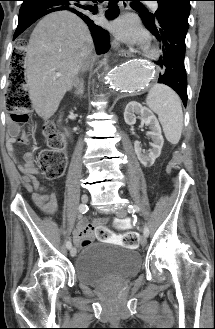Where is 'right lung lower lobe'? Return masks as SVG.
Here are the masks:
<instances>
[{
  "label": "right lung lower lobe",
  "mask_w": 215,
  "mask_h": 329,
  "mask_svg": "<svg viewBox=\"0 0 215 329\" xmlns=\"http://www.w3.org/2000/svg\"><path fill=\"white\" fill-rule=\"evenodd\" d=\"M19 11L18 26L13 39L17 38L23 31L32 25L39 18L55 11L67 10L78 15L89 27L98 54L106 53L109 50V34L99 26L92 14L95 10L90 5H83L81 1L90 0H22ZM108 9L105 11L107 19H114L119 15V0H108ZM14 72L20 71L17 60L13 61ZM18 74V73H17Z\"/></svg>",
  "instance_id": "obj_1"
}]
</instances>
